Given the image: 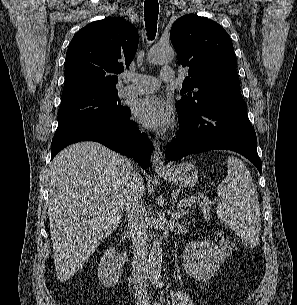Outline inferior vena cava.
<instances>
[{"instance_id": "1", "label": "inferior vena cava", "mask_w": 297, "mask_h": 305, "mask_svg": "<svg viewBox=\"0 0 297 305\" xmlns=\"http://www.w3.org/2000/svg\"><path fill=\"white\" fill-rule=\"evenodd\" d=\"M141 176L133 171L125 189L124 205L128 229L133 242L132 280L134 295L140 305H147L146 280L148 277V217L139 188Z\"/></svg>"}]
</instances>
